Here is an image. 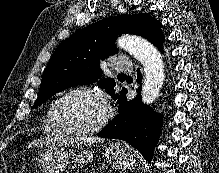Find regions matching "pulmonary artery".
<instances>
[{
  "instance_id": "pulmonary-artery-1",
  "label": "pulmonary artery",
  "mask_w": 219,
  "mask_h": 173,
  "mask_svg": "<svg viewBox=\"0 0 219 173\" xmlns=\"http://www.w3.org/2000/svg\"><path fill=\"white\" fill-rule=\"evenodd\" d=\"M111 65L116 71L127 72L132 70V63L128 58L116 57L112 60Z\"/></svg>"
}]
</instances>
